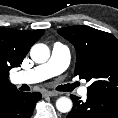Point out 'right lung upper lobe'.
<instances>
[{
	"label": "right lung upper lobe",
	"mask_w": 118,
	"mask_h": 118,
	"mask_svg": "<svg viewBox=\"0 0 118 118\" xmlns=\"http://www.w3.org/2000/svg\"><path fill=\"white\" fill-rule=\"evenodd\" d=\"M44 32L0 28V96L17 90L8 80L9 70L21 63Z\"/></svg>",
	"instance_id": "right-lung-upper-lobe-1"
}]
</instances>
